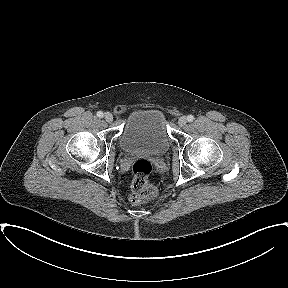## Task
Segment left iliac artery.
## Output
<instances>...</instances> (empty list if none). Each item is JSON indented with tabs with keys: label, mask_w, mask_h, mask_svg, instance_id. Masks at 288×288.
I'll return each instance as SVG.
<instances>
[{
	"label": "left iliac artery",
	"mask_w": 288,
	"mask_h": 288,
	"mask_svg": "<svg viewBox=\"0 0 288 288\" xmlns=\"http://www.w3.org/2000/svg\"><path fill=\"white\" fill-rule=\"evenodd\" d=\"M187 120L189 122H192L194 120V116L193 115H188Z\"/></svg>",
	"instance_id": "left-iliac-artery-1"
}]
</instances>
